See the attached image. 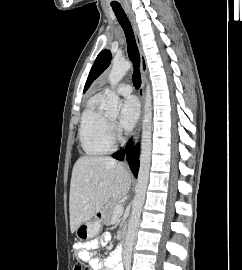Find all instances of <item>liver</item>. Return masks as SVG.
I'll list each match as a JSON object with an SVG mask.
<instances>
[{"label":"liver","instance_id":"obj_1","mask_svg":"<svg viewBox=\"0 0 242 270\" xmlns=\"http://www.w3.org/2000/svg\"><path fill=\"white\" fill-rule=\"evenodd\" d=\"M131 180L125 166L111 157H80L74 164L70 184L71 232L89 221L105 204L125 197Z\"/></svg>","mask_w":242,"mask_h":270}]
</instances>
